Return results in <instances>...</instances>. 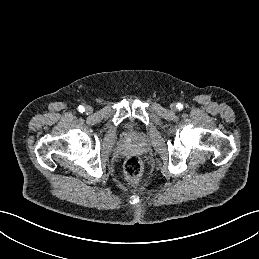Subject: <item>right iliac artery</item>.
<instances>
[{"instance_id":"obj_1","label":"right iliac artery","mask_w":259,"mask_h":259,"mask_svg":"<svg viewBox=\"0 0 259 259\" xmlns=\"http://www.w3.org/2000/svg\"><path fill=\"white\" fill-rule=\"evenodd\" d=\"M78 111L81 112V113H83V112L85 111L84 106L80 105V106L78 107Z\"/></svg>"}]
</instances>
